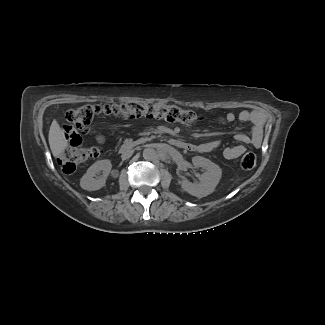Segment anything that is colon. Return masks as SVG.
<instances>
[{"label":"colon","instance_id":"obj_1","mask_svg":"<svg viewBox=\"0 0 325 325\" xmlns=\"http://www.w3.org/2000/svg\"><path fill=\"white\" fill-rule=\"evenodd\" d=\"M99 115L124 119L143 117L166 119L167 121L178 122L184 125H193L199 120V117L194 112L163 102L87 104L69 110L65 115V120L73 129L89 133L92 131L93 119ZM99 154L100 150L95 147L70 146L61 153L59 165L63 172L72 173L81 164L96 158ZM256 164L257 158L252 152L245 153L240 159V167L243 170H252L256 167Z\"/></svg>","mask_w":325,"mask_h":325}]
</instances>
